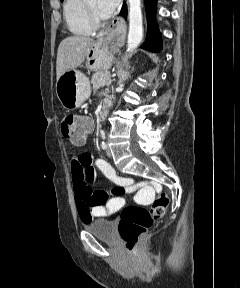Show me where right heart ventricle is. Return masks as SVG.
<instances>
[{"label": "right heart ventricle", "instance_id": "e07e8e85", "mask_svg": "<svg viewBox=\"0 0 240 288\" xmlns=\"http://www.w3.org/2000/svg\"><path fill=\"white\" fill-rule=\"evenodd\" d=\"M63 14L66 26L75 35H90L93 28L90 26L85 9V0H65Z\"/></svg>", "mask_w": 240, "mask_h": 288}]
</instances>
